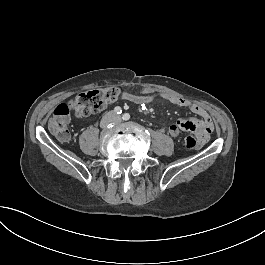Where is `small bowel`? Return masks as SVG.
<instances>
[{"instance_id": "1", "label": "small bowel", "mask_w": 265, "mask_h": 265, "mask_svg": "<svg viewBox=\"0 0 265 265\" xmlns=\"http://www.w3.org/2000/svg\"><path fill=\"white\" fill-rule=\"evenodd\" d=\"M119 97L122 100L142 106L157 99H162L174 106L185 108L191 111L195 117L178 119L175 123L169 126V135L172 138H177L182 131L192 132L199 139V144L207 143L210 138V134L213 130V122L209 113L204 107L195 104L186 98L148 88L140 89L138 94L122 90L119 92Z\"/></svg>"}]
</instances>
